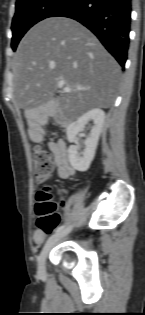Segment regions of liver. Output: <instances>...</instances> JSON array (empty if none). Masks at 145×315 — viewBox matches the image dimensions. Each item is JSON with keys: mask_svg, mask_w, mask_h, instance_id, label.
<instances>
[{"mask_svg": "<svg viewBox=\"0 0 145 315\" xmlns=\"http://www.w3.org/2000/svg\"><path fill=\"white\" fill-rule=\"evenodd\" d=\"M121 68L86 27L65 17L47 18L21 40L13 60L12 97L28 120L47 109L69 124L113 102ZM72 89L55 98L59 81ZM78 87L88 90L76 91Z\"/></svg>", "mask_w": 145, "mask_h": 315, "instance_id": "liver-1", "label": "liver"}]
</instances>
